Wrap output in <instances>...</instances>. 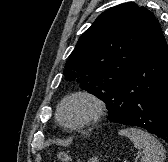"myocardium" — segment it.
I'll use <instances>...</instances> for the list:
<instances>
[{"label":"myocardium","instance_id":"f54148a6","mask_svg":"<svg viewBox=\"0 0 168 162\" xmlns=\"http://www.w3.org/2000/svg\"><path fill=\"white\" fill-rule=\"evenodd\" d=\"M71 104H79L85 108L84 116L74 123L63 119L64 109ZM105 111V103L97 95L87 91H76L66 95L57 105L56 118L60 126L68 130H78L97 122Z\"/></svg>","mask_w":168,"mask_h":162}]
</instances>
